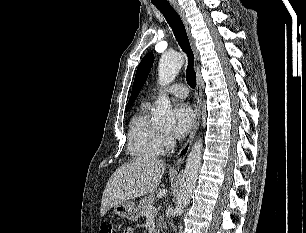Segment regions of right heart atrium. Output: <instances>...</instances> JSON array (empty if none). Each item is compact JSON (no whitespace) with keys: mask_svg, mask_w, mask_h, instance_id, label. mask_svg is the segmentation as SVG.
Wrapping results in <instances>:
<instances>
[{"mask_svg":"<svg viewBox=\"0 0 306 233\" xmlns=\"http://www.w3.org/2000/svg\"><path fill=\"white\" fill-rule=\"evenodd\" d=\"M173 145V140L170 134L166 132L160 133V151L161 153L166 152Z\"/></svg>","mask_w":306,"mask_h":233,"instance_id":"obj_1","label":"right heart atrium"}]
</instances>
